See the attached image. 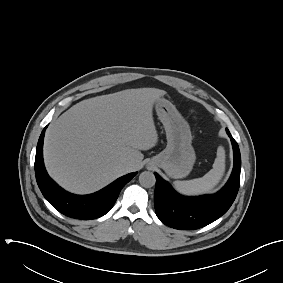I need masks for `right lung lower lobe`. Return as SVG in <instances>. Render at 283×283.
I'll list each match as a JSON object with an SVG mask.
<instances>
[{
	"label": "right lung lower lobe",
	"mask_w": 283,
	"mask_h": 283,
	"mask_svg": "<svg viewBox=\"0 0 283 283\" xmlns=\"http://www.w3.org/2000/svg\"><path fill=\"white\" fill-rule=\"evenodd\" d=\"M45 129L42 131L36 150L35 175L37 184L46 200L62 214L82 220L101 217L113 207L121 189L136 173L118 178L104 189L90 195H74L59 187L47 174L43 163V141Z\"/></svg>",
	"instance_id": "right-lung-lower-lobe-1"
}]
</instances>
